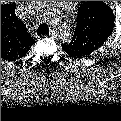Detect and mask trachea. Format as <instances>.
Wrapping results in <instances>:
<instances>
[{
	"label": "trachea",
	"mask_w": 121,
	"mask_h": 121,
	"mask_svg": "<svg viewBox=\"0 0 121 121\" xmlns=\"http://www.w3.org/2000/svg\"><path fill=\"white\" fill-rule=\"evenodd\" d=\"M49 28L46 24H41L37 29V34H48Z\"/></svg>",
	"instance_id": "trachea-1"
}]
</instances>
